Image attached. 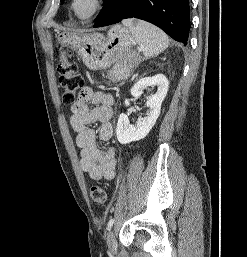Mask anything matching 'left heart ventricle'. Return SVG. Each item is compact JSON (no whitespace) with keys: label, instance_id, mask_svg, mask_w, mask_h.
<instances>
[{"label":"left heart ventricle","instance_id":"b2bd125f","mask_svg":"<svg viewBox=\"0 0 247 257\" xmlns=\"http://www.w3.org/2000/svg\"><path fill=\"white\" fill-rule=\"evenodd\" d=\"M92 6L91 0H78L75 7L79 14H86Z\"/></svg>","mask_w":247,"mask_h":257}]
</instances>
